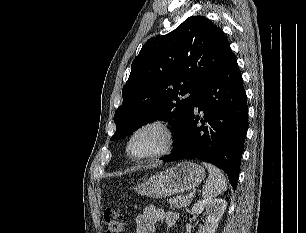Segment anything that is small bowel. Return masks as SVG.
<instances>
[{"mask_svg": "<svg viewBox=\"0 0 306 233\" xmlns=\"http://www.w3.org/2000/svg\"><path fill=\"white\" fill-rule=\"evenodd\" d=\"M178 221V214L149 206L135 218V233H153L158 222H164L168 228H173Z\"/></svg>", "mask_w": 306, "mask_h": 233, "instance_id": "1", "label": "small bowel"}]
</instances>
